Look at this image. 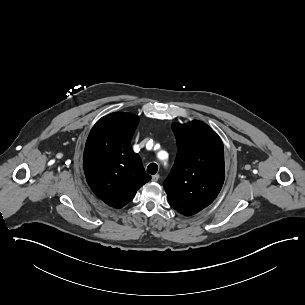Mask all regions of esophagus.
I'll list each match as a JSON object with an SVG mask.
<instances>
[{
    "mask_svg": "<svg viewBox=\"0 0 305 305\" xmlns=\"http://www.w3.org/2000/svg\"><path fill=\"white\" fill-rule=\"evenodd\" d=\"M159 177H160V176H159L158 174L153 175L152 178H151V180H152L153 182H156V181H158Z\"/></svg>",
    "mask_w": 305,
    "mask_h": 305,
    "instance_id": "1",
    "label": "esophagus"
}]
</instances>
